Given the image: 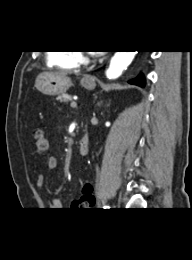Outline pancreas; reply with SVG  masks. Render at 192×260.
Instances as JSON below:
<instances>
[{
  "instance_id": "1",
  "label": "pancreas",
  "mask_w": 192,
  "mask_h": 260,
  "mask_svg": "<svg viewBox=\"0 0 192 260\" xmlns=\"http://www.w3.org/2000/svg\"><path fill=\"white\" fill-rule=\"evenodd\" d=\"M60 102H64V103H67L69 100L72 99V96L69 95V94H61L60 96H58L57 98Z\"/></svg>"
}]
</instances>
